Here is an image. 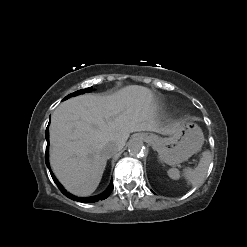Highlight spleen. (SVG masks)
I'll return each instance as SVG.
<instances>
[{
	"instance_id": "1",
	"label": "spleen",
	"mask_w": 247,
	"mask_h": 247,
	"mask_svg": "<svg viewBox=\"0 0 247 247\" xmlns=\"http://www.w3.org/2000/svg\"><path fill=\"white\" fill-rule=\"evenodd\" d=\"M211 161V152L206 150L202 153L200 162L196 168L192 169L188 167L184 169L183 176L188 181L189 185L196 187L204 182ZM167 173L173 180H178L180 178V171L177 168H170Z\"/></svg>"
}]
</instances>
